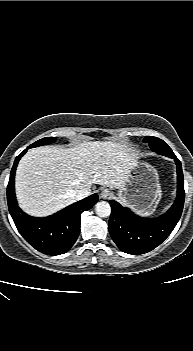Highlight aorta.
Masks as SVG:
<instances>
[{
    "label": "aorta",
    "mask_w": 193,
    "mask_h": 351,
    "mask_svg": "<svg viewBox=\"0 0 193 351\" xmlns=\"http://www.w3.org/2000/svg\"><path fill=\"white\" fill-rule=\"evenodd\" d=\"M95 211L99 217H108L111 214L110 204L106 201L97 202L95 205Z\"/></svg>",
    "instance_id": "762f6f07"
}]
</instances>
